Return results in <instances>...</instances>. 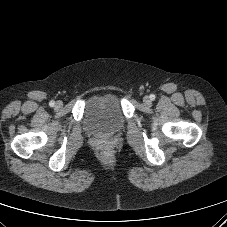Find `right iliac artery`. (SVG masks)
<instances>
[{"label": "right iliac artery", "mask_w": 227, "mask_h": 227, "mask_svg": "<svg viewBox=\"0 0 227 227\" xmlns=\"http://www.w3.org/2000/svg\"><path fill=\"white\" fill-rule=\"evenodd\" d=\"M49 105H50L51 107H53V106L55 105V102H54V101H50V102H49Z\"/></svg>", "instance_id": "1"}]
</instances>
